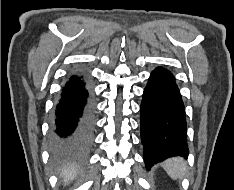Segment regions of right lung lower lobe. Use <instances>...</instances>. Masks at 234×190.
Wrapping results in <instances>:
<instances>
[{
    "mask_svg": "<svg viewBox=\"0 0 234 190\" xmlns=\"http://www.w3.org/2000/svg\"><path fill=\"white\" fill-rule=\"evenodd\" d=\"M94 103L81 75H72L62 88L52 122L53 147L78 150L88 145L94 129Z\"/></svg>",
    "mask_w": 234,
    "mask_h": 190,
    "instance_id": "1",
    "label": "right lung lower lobe"
}]
</instances>
